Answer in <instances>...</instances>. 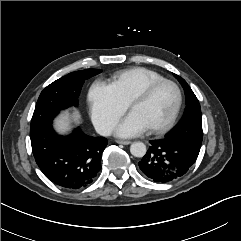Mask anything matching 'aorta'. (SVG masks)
Instances as JSON below:
<instances>
[{"instance_id": "762f6f07", "label": "aorta", "mask_w": 241, "mask_h": 241, "mask_svg": "<svg viewBox=\"0 0 241 241\" xmlns=\"http://www.w3.org/2000/svg\"><path fill=\"white\" fill-rule=\"evenodd\" d=\"M146 145L140 141L134 142L130 146V152L133 156L141 158L146 154Z\"/></svg>"}]
</instances>
